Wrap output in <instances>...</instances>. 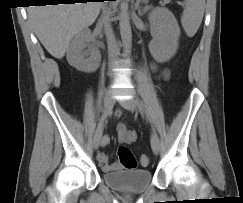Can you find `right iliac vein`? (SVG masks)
<instances>
[{
    "label": "right iliac vein",
    "mask_w": 243,
    "mask_h": 203,
    "mask_svg": "<svg viewBox=\"0 0 243 203\" xmlns=\"http://www.w3.org/2000/svg\"><path fill=\"white\" fill-rule=\"evenodd\" d=\"M112 107H113L112 93L111 91H108L104 97V110H103L104 113H107L110 109H112ZM101 137H102V128L97 130L94 135L93 144L95 149H98L100 145Z\"/></svg>",
    "instance_id": "1"
}]
</instances>
